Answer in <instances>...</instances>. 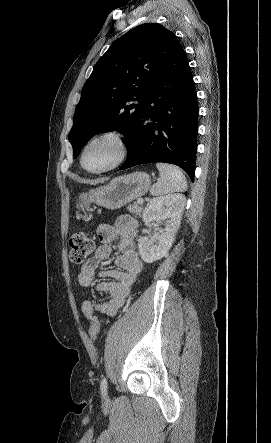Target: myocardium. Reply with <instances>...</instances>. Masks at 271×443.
Wrapping results in <instances>:
<instances>
[{"label":"myocardium","instance_id":"1","mask_svg":"<svg viewBox=\"0 0 271 443\" xmlns=\"http://www.w3.org/2000/svg\"><path fill=\"white\" fill-rule=\"evenodd\" d=\"M105 137H111L117 142L118 150H119L117 158L110 165H108L102 169H99V170L86 169L83 165V155H84L85 149L92 142H94L98 139H101V138H105ZM129 152H130V145H129L128 139L126 137V134L118 128H109V129H105V130L93 135L91 138H89L86 141V143L83 145V147L80 151L79 164H80V167L83 169V171H85L89 174H101V173H105L110 170H113L116 167L120 166L127 159Z\"/></svg>","mask_w":271,"mask_h":443}]
</instances>
